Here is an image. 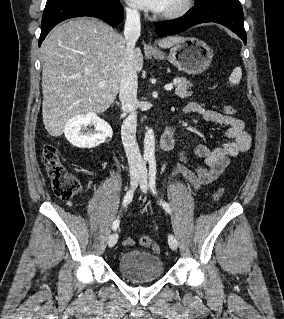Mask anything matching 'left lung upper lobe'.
I'll return each instance as SVG.
<instances>
[{
    "label": "left lung upper lobe",
    "instance_id": "1",
    "mask_svg": "<svg viewBox=\"0 0 284 319\" xmlns=\"http://www.w3.org/2000/svg\"><path fill=\"white\" fill-rule=\"evenodd\" d=\"M205 1H208V0H196V3H202V2H205Z\"/></svg>",
    "mask_w": 284,
    "mask_h": 319
}]
</instances>
